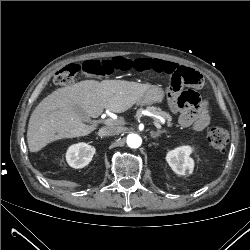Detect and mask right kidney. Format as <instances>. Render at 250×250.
Returning <instances> with one entry per match:
<instances>
[{"label":"right kidney","mask_w":250,"mask_h":250,"mask_svg":"<svg viewBox=\"0 0 250 250\" xmlns=\"http://www.w3.org/2000/svg\"><path fill=\"white\" fill-rule=\"evenodd\" d=\"M94 154V147L86 143H78L69 147L66 160L71 167L79 169L88 165Z\"/></svg>","instance_id":"right-kidney-1"}]
</instances>
